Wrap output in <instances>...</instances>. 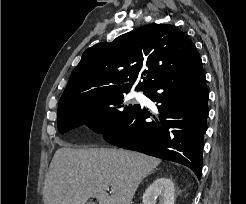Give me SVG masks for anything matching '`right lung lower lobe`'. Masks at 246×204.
Returning a JSON list of instances; mask_svg holds the SVG:
<instances>
[{
    "label": "right lung lower lobe",
    "instance_id": "obj_1",
    "mask_svg": "<svg viewBox=\"0 0 246 204\" xmlns=\"http://www.w3.org/2000/svg\"><path fill=\"white\" fill-rule=\"evenodd\" d=\"M145 95L159 104V114L138 105L125 123L104 133L103 138L121 148L183 164L200 179L209 113L201 59L165 76Z\"/></svg>",
    "mask_w": 246,
    "mask_h": 204
}]
</instances>
